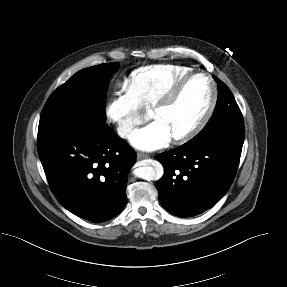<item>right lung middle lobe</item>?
I'll list each match as a JSON object with an SVG mask.
<instances>
[{"instance_id":"right-lung-middle-lobe-1","label":"right lung middle lobe","mask_w":287,"mask_h":287,"mask_svg":"<svg viewBox=\"0 0 287 287\" xmlns=\"http://www.w3.org/2000/svg\"><path fill=\"white\" fill-rule=\"evenodd\" d=\"M118 68L117 62L89 67L57 88L42 110L38 138L105 126L108 82Z\"/></svg>"}]
</instances>
